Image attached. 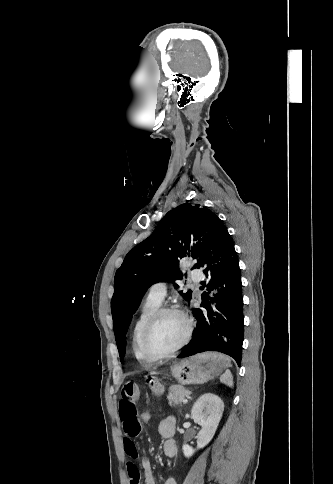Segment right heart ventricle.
I'll use <instances>...</instances> for the list:
<instances>
[{
	"mask_svg": "<svg viewBox=\"0 0 333 484\" xmlns=\"http://www.w3.org/2000/svg\"><path fill=\"white\" fill-rule=\"evenodd\" d=\"M160 305L161 303L147 298L140 309L132 330V349L136 359L143 365H150L153 363V361L144 355L141 348L143 329L152 314L160 308Z\"/></svg>",
	"mask_w": 333,
	"mask_h": 484,
	"instance_id": "e07e8e85",
	"label": "right heart ventricle"
}]
</instances>
